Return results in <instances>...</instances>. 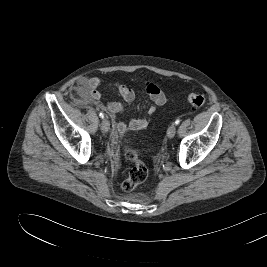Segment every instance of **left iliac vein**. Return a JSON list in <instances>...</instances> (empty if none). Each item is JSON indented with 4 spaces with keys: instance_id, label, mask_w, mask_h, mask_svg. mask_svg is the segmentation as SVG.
<instances>
[{
    "instance_id": "left-iliac-vein-1",
    "label": "left iliac vein",
    "mask_w": 267,
    "mask_h": 267,
    "mask_svg": "<svg viewBox=\"0 0 267 267\" xmlns=\"http://www.w3.org/2000/svg\"><path fill=\"white\" fill-rule=\"evenodd\" d=\"M175 133H176V126L172 124L167 130V136L169 138H173L175 136Z\"/></svg>"
}]
</instances>
